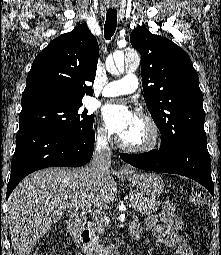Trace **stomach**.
<instances>
[{
    "label": "stomach",
    "mask_w": 221,
    "mask_h": 255,
    "mask_svg": "<svg viewBox=\"0 0 221 255\" xmlns=\"http://www.w3.org/2000/svg\"><path fill=\"white\" fill-rule=\"evenodd\" d=\"M127 177L128 181L136 186L140 193L151 199L160 196L165 190L164 181L159 175L130 173Z\"/></svg>",
    "instance_id": "stomach-1"
}]
</instances>
